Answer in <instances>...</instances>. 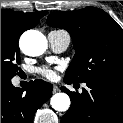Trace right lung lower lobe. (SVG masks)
<instances>
[{
	"instance_id": "1",
	"label": "right lung lower lobe",
	"mask_w": 123,
	"mask_h": 123,
	"mask_svg": "<svg viewBox=\"0 0 123 123\" xmlns=\"http://www.w3.org/2000/svg\"><path fill=\"white\" fill-rule=\"evenodd\" d=\"M52 84L30 81L25 89L1 82V123H32L36 110L52 96Z\"/></svg>"
}]
</instances>
